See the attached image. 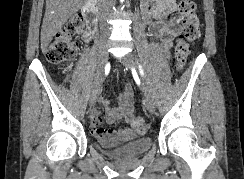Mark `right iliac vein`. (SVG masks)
<instances>
[{
    "mask_svg": "<svg viewBox=\"0 0 244 179\" xmlns=\"http://www.w3.org/2000/svg\"><path fill=\"white\" fill-rule=\"evenodd\" d=\"M108 59H109V55H108L106 46L101 47L99 50V53H98V71H97L96 77L93 81L92 89L89 94L90 105H94L96 102V98L100 91L102 73H103L105 65L108 62Z\"/></svg>",
    "mask_w": 244,
    "mask_h": 179,
    "instance_id": "1",
    "label": "right iliac vein"
}]
</instances>
